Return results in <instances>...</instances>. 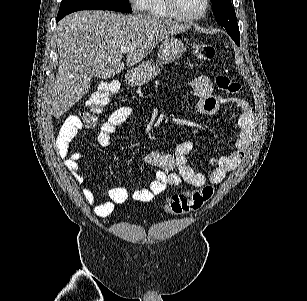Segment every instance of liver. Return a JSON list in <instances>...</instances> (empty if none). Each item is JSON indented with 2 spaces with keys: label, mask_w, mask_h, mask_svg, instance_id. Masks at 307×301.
Here are the masks:
<instances>
[{
  "label": "liver",
  "mask_w": 307,
  "mask_h": 301,
  "mask_svg": "<svg viewBox=\"0 0 307 301\" xmlns=\"http://www.w3.org/2000/svg\"><path fill=\"white\" fill-rule=\"evenodd\" d=\"M171 18L122 14L110 10H78L55 28L59 64L51 98V114L61 116L87 94L91 78H111L125 68L122 46H129L126 66H134L158 42L189 30Z\"/></svg>",
  "instance_id": "liver-1"
}]
</instances>
